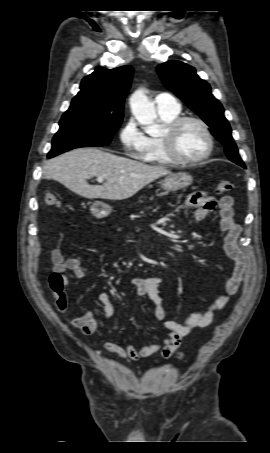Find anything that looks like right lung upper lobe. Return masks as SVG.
<instances>
[{"instance_id": "cb5924a9", "label": "right lung upper lobe", "mask_w": 270, "mask_h": 453, "mask_svg": "<svg viewBox=\"0 0 270 453\" xmlns=\"http://www.w3.org/2000/svg\"><path fill=\"white\" fill-rule=\"evenodd\" d=\"M132 75L131 66L111 70L96 68L82 80L80 91L63 116L97 114L122 120L124 99L130 88Z\"/></svg>"}]
</instances>
